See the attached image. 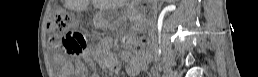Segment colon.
<instances>
[{
	"label": "colon",
	"mask_w": 258,
	"mask_h": 77,
	"mask_svg": "<svg viewBox=\"0 0 258 77\" xmlns=\"http://www.w3.org/2000/svg\"><path fill=\"white\" fill-rule=\"evenodd\" d=\"M48 30L59 39L61 48L68 53H79L86 48L85 35L77 30L76 20L62 10H55L49 21ZM141 37H143L141 35ZM146 40H138L133 46V53H143L147 50Z\"/></svg>",
	"instance_id": "colon-1"
}]
</instances>
